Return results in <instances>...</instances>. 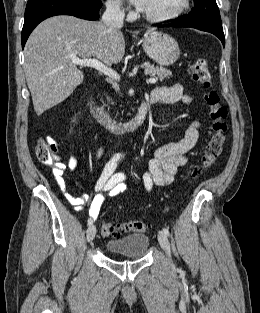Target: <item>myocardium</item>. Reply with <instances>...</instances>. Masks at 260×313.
I'll use <instances>...</instances> for the list:
<instances>
[{
	"label": "myocardium",
	"mask_w": 260,
	"mask_h": 313,
	"mask_svg": "<svg viewBox=\"0 0 260 313\" xmlns=\"http://www.w3.org/2000/svg\"><path fill=\"white\" fill-rule=\"evenodd\" d=\"M190 7V0H182L180 6L171 13L154 16L150 14H146L142 12V17L147 21L154 22V23H163L177 19L178 17L182 16Z\"/></svg>",
	"instance_id": "1"
}]
</instances>
